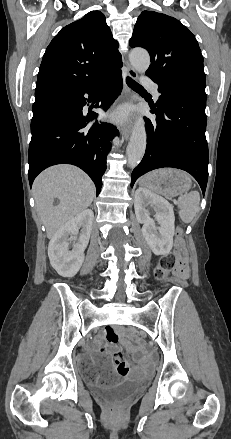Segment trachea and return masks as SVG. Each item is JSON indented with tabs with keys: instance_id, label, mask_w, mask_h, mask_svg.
<instances>
[{
	"instance_id": "trachea-1",
	"label": "trachea",
	"mask_w": 231,
	"mask_h": 439,
	"mask_svg": "<svg viewBox=\"0 0 231 439\" xmlns=\"http://www.w3.org/2000/svg\"><path fill=\"white\" fill-rule=\"evenodd\" d=\"M126 83L129 87H131L132 89H143V87L138 84L136 81H134L132 78L127 77L126 78Z\"/></svg>"
}]
</instances>
